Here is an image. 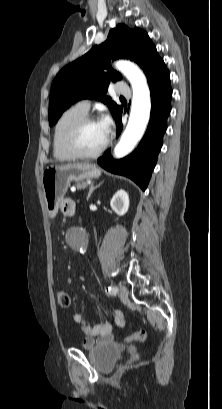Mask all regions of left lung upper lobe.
<instances>
[{
  "instance_id": "5c2ea615",
  "label": "left lung upper lobe",
  "mask_w": 222,
  "mask_h": 409,
  "mask_svg": "<svg viewBox=\"0 0 222 409\" xmlns=\"http://www.w3.org/2000/svg\"><path fill=\"white\" fill-rule=\"evenodd\" d=\"M118 58L139 64L148 82L167 69L145 31L118 24L110 30L105 42L94 46L56 75L49 98V125H54L73 103L86 98L106 103L116 119L123 109L105 93L110 80L121 79V75L110 67V61Z\"/></svg>"
}]
</instances>
